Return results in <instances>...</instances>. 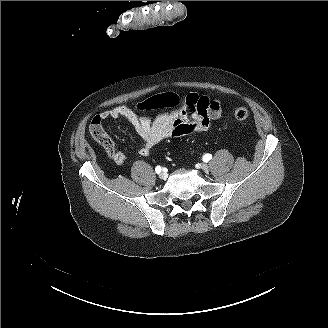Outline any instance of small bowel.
Masks as SVG:
<instances>
[{
  "mask_svg": "<svg viewBox=\"0 0 328 328\" xmlns=\"http://www.w3.org/2000/svg\"><path fill=\"white\" fill-rule=\"evenodd\" d=\"M221 115L219 100L191 93L182 97L173 111L160 115L156 123L150 117L140 116L124 105L106 110L99 116L102 120L125 118L140 137L142 146L139 154L145 157L155 145L164 140L209 131ZM107 153L116 164H123L126 160L125 154L114 147Z\"/></svg>",
  "mask_w": 328,
  "mask_h": 328,
  "instance_id": "small-bowel-1",
  "label": "small bowel"
}]
</instances>
